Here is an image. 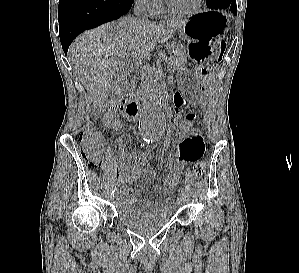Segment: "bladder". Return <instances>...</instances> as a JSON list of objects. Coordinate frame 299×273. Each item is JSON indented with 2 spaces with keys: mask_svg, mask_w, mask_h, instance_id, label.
<instances>
[{
  "mask_svg": "<svg viewBox=\"0 0 299 273\" xmlns=\"http://www.w3.org/2000/svg\"><path fill=\"white\" fill-rule=\"evenodd\" d=\"M173 209L167 211L156 210L147 217H140L124 211H118L117 218L120 223L129 229L139 233H149L162 228L170 223L173 217Z\"/></svg>",
  "mask_w": 299,
  "mask_h": 273,
  "instance_id": "obj_1",
  "label": "bladder"
}]
</instances>
